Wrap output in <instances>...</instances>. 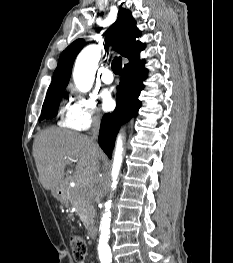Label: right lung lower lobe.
Instances as JSON below:
<instances>
[{
    "label": "right lung lower lobe",
    "instance_id": "1",
    "mask_svg": "<svg viewBox=\"0 0 233 263\" xmlns=\"http://www.w3.org/2000/svg\"><path fill=\"white\" fill-rule=\"evenodd\" d=\"M144 61L124 66L120 84L117 87L116 108L112 114L103 116L99 133V145L111 158L115 138L120 126L137 114L141 102L138 100L144 88L143 80L147 77L148 70L144 68Z\"/></svg>",
    "mask_w": 233,
    "mask_h": 263
}]
</instances>
